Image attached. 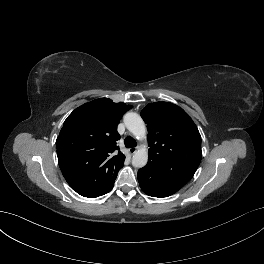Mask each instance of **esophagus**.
I'll return each mask as SVG.
<instances>
[{"label": "esophagus", "mask_w": 264, "mask_h": 264, "mask_svg": "<svg viewBox=\"0 0 264 264\" xmlns=\"http://www.w3.org/2000/svg\"><path fill=\"white\" fill-rule=\"evenodd\" d=\"M136 150H137V148H135V147H131L128 149V151L131 155L134 154L136 152Z\"/></svg>", "instance_id": "1"}]
</instances>
